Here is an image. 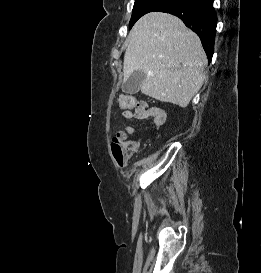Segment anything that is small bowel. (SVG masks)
I'll use <instances>...</instances> for the list:
<instances>
[{
  "label": "small bowel",
  "instance_id": "obj_1",
  "mask_svg": "<svg viewBox=\"0 0 261 273\" xmlns=\"http://www.w3.org/2000/svg\"><path fill=\"white\" fill-rule=\"evenodd\" d=\"M143 105H144L143 115L136 117L135 113L131 109L123 108L124 110H123L122 116L127 120H131L133 118H136L139 120H145V119L151 118L155 129H158L159 127H161L166 121L165 110L160 107L147 108L145 104ZM124 131H125V134L131 135L134 133V128L132 126H126ZM134 151L137 152V147Z\"/></svg>",
  "mask_w": 261,
  "mask_h": 273
}]
</instances>
